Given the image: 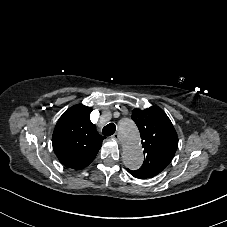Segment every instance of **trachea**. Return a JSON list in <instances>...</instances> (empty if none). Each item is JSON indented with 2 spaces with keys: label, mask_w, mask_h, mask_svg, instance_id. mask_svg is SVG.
<instances>
[{
  "label": "trachea",
  "mask_w": 227,
  "mask_h": 227,
  "mask_svg": "<svg viewBox=\"0 0 227 227\" xmlns=\"http://www.w3.org/2000/svg\"><path fill=\"white\" fill-rule=\"evenodd\" d=\"M115 130H116L115 124L110 123L102 129V134L104 136H111L115 132Z\"/></svg>",
  "instance_id": "trachea-1"
}]
</instances>
